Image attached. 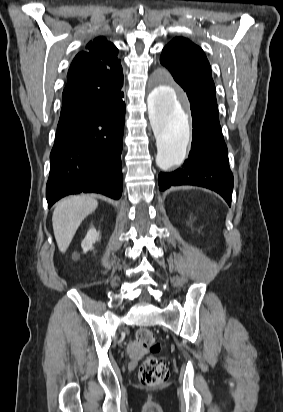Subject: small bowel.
<instances>
[{
	"label": "small bowel",
	"instance_id": "obj_1",
	"mask_svg": "<svg viewBox=\"0 0 283 412\" xmlns=\"http://www.w3.org/2000/svg\"><path fill=\"white\" fill-rule=\"evenodd\" d=\"M126 352L132 360H137L144 354V349L137 342L131 341L127 345Z\"/></svg>",
	"mask_w": 283,
	"mask_h": 412
}]
</instances>
